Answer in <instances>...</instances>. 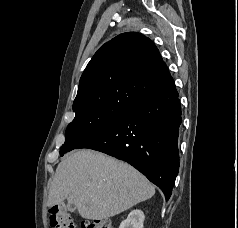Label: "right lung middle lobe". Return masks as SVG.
Instances as JSON below:
<instances>
[{
    "label": "right lung middle lobe",
    "mask_w": 238,
    "mask_h": 228,
    "mask_svg": "<svg viewBox=\"0 0 238 228\" xmlns=\"http://www.w3.org/2000/svg\"><path fill=\"white\" fill-rule=\"evenodd\" d=\"M127 108H88L75 112L74 120L66 129L65 143L60 155L76 149L114 122Z\"/></svg>",
    "instance_id": "right-lung-middle-lobe-1"
}]
</instances>
